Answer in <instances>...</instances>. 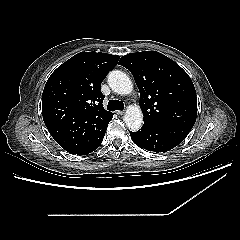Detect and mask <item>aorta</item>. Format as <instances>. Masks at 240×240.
I'll return each instance as SVG.
<instances>
[{
	"instance_id": "obj_1",
	"label": "aorta",
	"mask_w": 240,
	"mask_h": 240,
	"mask_svg": "<svg viewBox=\"0 0 240 240\" xmlns=\"http://www.w3.org/2000/svg\"><path fill=\"white\" fill-rule=\"evenodd\" d=\"M110 88L120 95H127L133 89L129 76L122 71L114 70L108 75ZM124 122L131 131H138L143 125V114L140 108L130 106L124 115Z\"/></svg>"
}]
</instances>
